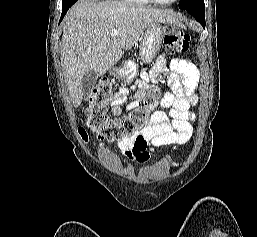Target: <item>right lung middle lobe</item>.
<instances>
[{"instance_id":"1","label":"right lung middle lobe","mask_w":257,"mask_h":237,"mask_svg":"<svg viewBox=\"0 0 257 237\" xmlns=\"http://www.w3.org/2000/svg\"><path fill=\"white\" fill-rule=\"evenodd\" d=\"M77 0H63L62 9L71 7Z\"/></svg>"}]
</instances>
